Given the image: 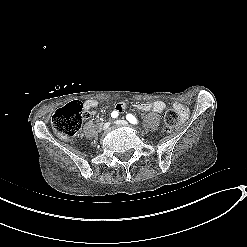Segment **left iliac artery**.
<instances>
[{
    "instance_id": "1",
    "label": "left iliac artery",
    "mask_w": 247,
    "mask_h": 247,
    "mask_svg": "<svg viewBox=\"0 0 247 247\" xmlns=\"http://www.w3.org/2000/svg\"><path fill=\"white\" fill-rule=\"evenodd\" d=\"M126 119H127L130 123H132V124H137V123H138L137 119H136L132 114H128V115L126 116Z\"/></svg>"
}]
</instances>
